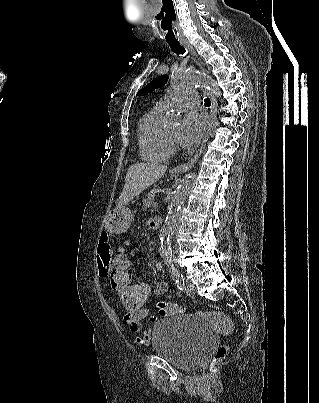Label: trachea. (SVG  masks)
<instances>
[{
    "mask_svg": "<svg viewBox=\"0 0 319 403\" xmlns=\"http://www.w3.org/2000/svg\"><path fill=\"white\" fill-rule=\"evenodd\" d=\"M161 27L165 33V39H166L167 43L169 44L171 50L178 55L184 54L185 48L182 47L176 39L174 30L172 28V21H163L161 24ZM205 105L207 107H210L211 101L209 98L205 99Z\"/></svg>",
    "mask_w": 319,
    "mask_h": 403,
    "instance_id": "obj_1",
    "label": "trachea"
}]
</instances>
